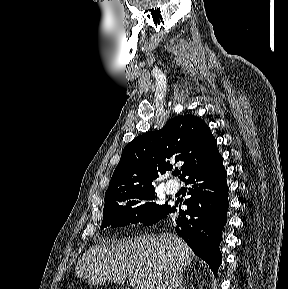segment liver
I'll list each match as a JSON object with an SVG mask.
<instances>
[{
  "label": "liver",
  "mask_w": 288,
  "mask_h": 289,
  "mask_svg": "<svg viewBox=\"0 0 288 289\" xmlns=\"http://www.w3.org/2000/svg\"><path fill=\"white\" fill-rule=\"evenodd\" d=\"M193 257L191 249L176 234L162 233L100 242L85 252L75 272L91 285L123 284L128 278L133 289H158L166 268L172 265L183 271Z\"/></svg>",
  "instance_id": "obj_1"
}]
</instances>
